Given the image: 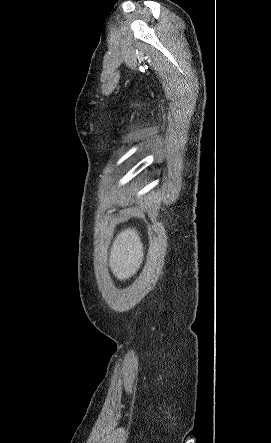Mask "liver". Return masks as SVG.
Masks as SVG:
<instances>
[{
  "label": "liver",
  "instance_id": "6515ba94",
  "mask_svg": "<svg viewBox=\"0 0 271 443\" xmlns=\"http://www.w3.org/2000/svg\"><path fill=\"white\" fill-rule=\"evenodd\" d=\"M143 243L135 227H125L117 233L109 253V265L117 279L132 277L143 261Z\"/></svg>",
  "mask_w": 271,
  "mask_h": 443
}]
</instances>
